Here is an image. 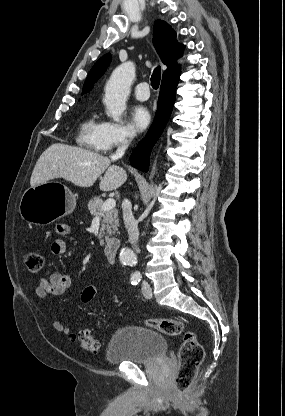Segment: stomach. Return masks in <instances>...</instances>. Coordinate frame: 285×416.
<instances>
[{"mask_svg":"<svg viewBox=\"0 0 285 416\" xmlns=\"http://www.w3.org/2000/svg\"><path fill=\"white\" fill-rule=\"evenodd\" d=\"M76 208V198L60 182H47L24 192L19 212L22 220L35 226H47L59 218L72 214Z\"/></svg>","mask_w":285,"mask_h":416,"instance_id":"1","label":"stomach"}]
</instances>
